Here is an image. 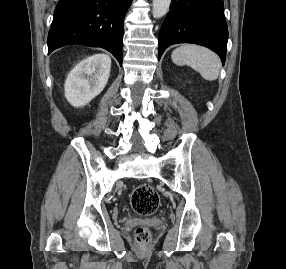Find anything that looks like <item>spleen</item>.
Masks as SVG:
<instances>
[{"instance_id": "3e777b00", "label": "spleen", "mask_w": 286, "mask_h": 269, "mask_svg": "<svg viewBox=\"0 0 286 269\" xmlns=\"http://www.w3.org/2000/svg\"><path fill=\"white\" fill-rule=\"evenodd\" d=\"M172 61L179 66L187 65L208 81L219 76L221 62L211 50L197 45H182L172 52Z\"/></svg>"}]
</instances>
